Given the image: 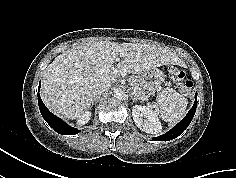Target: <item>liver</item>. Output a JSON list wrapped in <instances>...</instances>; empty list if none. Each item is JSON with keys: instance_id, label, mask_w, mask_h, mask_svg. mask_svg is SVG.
Returning a JSON list of instances; mask_svg holds the SVG:
<instances>
[{"instance_id": "liver-1", "label": "liver", "mask_w": 236, "mask_h": 178, "mask_svg": "<svg viewBox=\"0 0 236 178\" xmlns=\"http://www.w3.org/2000/svg\"><path fill=\"white\" fill-rule=\"evenodd\" d=\"M178 60L170 50L149 44L97 41L74 45L43 72L41 98L54 114L76 119L89 110L97 85L120 75L175 65ZM106 64L112 66L104 69Z\"/></svg>"}]
</instances>
